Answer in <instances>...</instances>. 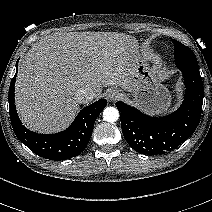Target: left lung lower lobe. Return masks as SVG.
Listing matches in <instances>:
<instances>
[{
  "label": "left lung lower lobe",
  "mask_w": 212,
  "mask_h": 212,
  "mask_svg": "<svg viewBox=\"0 0 212 212\" xmlns=\"http://www.w3.org/2000/svg\"><path fill=\"white\" fill-rule=\"evenodd\" d=\"M185 81V99L177 111L164 117H149L123 102H117L123 135L137 152L160 155L186 141L196 130L202 111L203 82L197 60H175Z\"/></svg>",
  "instance_id": "0a47b994"
}]
</instances>
